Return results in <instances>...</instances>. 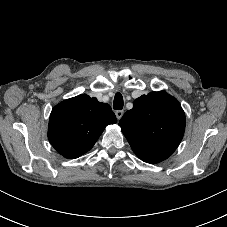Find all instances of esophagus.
Here are the masks:
<instances>
[{
  "instance_id": "esophagus-1",
  "label": "esophagus",
  "mask_w": 227,
  "mask_h": 227,
  "mask_svg": "<svg viewBox=\"0 0 227 227\" xmlns=\"http://www.w3.org/2000/svg\"><path fill=\"white\" fill-rule=\"evenodd\" d=\"M123 114H124V111H122V110H118L115 112V115L118 120H120L122 118Z\"/></svg>"
}]
</instances>
